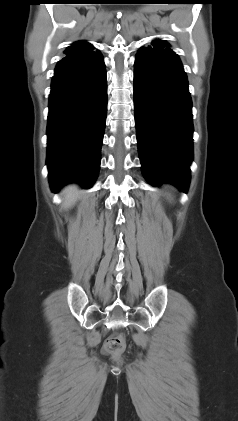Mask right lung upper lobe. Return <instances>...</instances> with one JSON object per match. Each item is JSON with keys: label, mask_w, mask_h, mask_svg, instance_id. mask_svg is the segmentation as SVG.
<instances>
[{"label": "right lung upper lobe", "mask_w": 238, "mask_h": 421, "mask_svg": "<svg viewBox=\"0 0 238 421\" xmlns=\"http://www.w3.org/2000/svg\"><path fill=\"white\" fill-rule=\"evenodd\" d=\"M87 53H99L94 51V46L85 41H77L69 46L65 50L66 56L87 54Z\"/></svg>", "instance_id": "1"}]
</instances>
